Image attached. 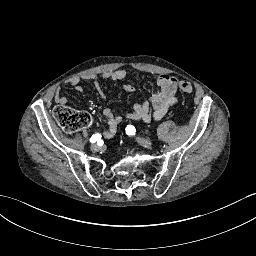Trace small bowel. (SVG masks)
<instances>
[{
	"label": "small bowel",
	"mask_w": 256,
	"mask_h": 256,
	"mask_svg": "<svg viewBox=\"0 0 256 256\" xmlns=\"http://www.w3.org/2000/svg\"><path fill=\"white\" fill-rule=\"evenodd\" d=\"M127 72L124 69H117L113 71H106L102 74V78L113 81H122L126 78ZM92 81L95 90L101 98H105L106 94L95 74H87L82 77H74L69 80V84L78 92H83L84 88L80 85L81 80ZM158 89L153 93L150 101L144 100L134 104L133 110L125 115L127 119L142 120L146 123L161 120L168 109L178 102L176 91L178 87V80L171 75L161 74L157 80ZM126 92H133L135 87L131 84L123 85ZM54 102L58 106H65L68 98L56 91L54 95ZM103 116L107 120V129L102 131V137L105 139L112 138L117 131V127L122 121L120 115L115 114L111 109L103 110Z\"/></svg>",
	"instance_id": "small-bowel-1"
}]
</instances>
